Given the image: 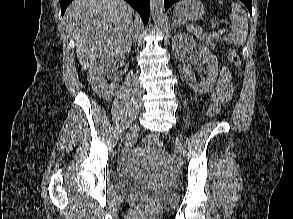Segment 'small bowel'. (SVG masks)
Returning a JSON list of instances; mask_svg holds the SVG:
<instances>
[{
  "mask_svg": "<svg viewBox=\"0 0 293 219\" xmlns=\"http://www.w3.org/2000/svg\"><path fill=\"white\" fill-rule=\"evenodd\" d=\"M233 93L231 74L226 68H221L219 78L214 90L211 93V100L223 103L230 99Z\"/></svg>",
  "mask_w": 293,
  "mask_h": 219,
  "instance_id": "1",
  "label": "small bowel"
}]
</instances>
